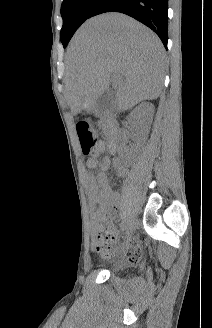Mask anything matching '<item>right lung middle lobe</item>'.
I'll return each mask as SVG.
<instances>
[{
    "instance_id": "dd1d6c3e",
    "label": "right lung middle lobe",
    "mask_w": 212,
    "mask_h": 328,
    "mask_svg": "<svg viewBox=\"0 0 212 328\" xmlns=\"http://www.w3.org/2000/svg\"><path fill=\"white\" fill-rule=\"evenodd\" d=\"M99 0H64L61 5L63 27L61 42L67 46L75 31L89 18L90 12Z\"/></svg>"
}]
</instances>
